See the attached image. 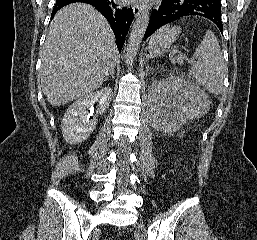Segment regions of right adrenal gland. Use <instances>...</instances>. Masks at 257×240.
Segmentation results:
<instances>
[{
    "label": "right adrenal gland",
    "mask_w": 257,
    "mask_h": 240,
    "mask_svg": "<svg viewBox=\"0 0 257 240\" xmlns=\"http://www.w3.org/2000/svg\"><path fill=\"white\" fill-rule=\"evenodd\" d=\"M110 77H111L112 79L115 78V70H113V71L111 72L110 76L107 77L106 81H107Z\"/></svg>",
    "instance_id": "1"
}]
</instances>
